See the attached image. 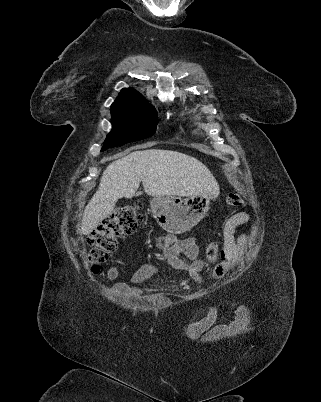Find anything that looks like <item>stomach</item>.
<instances>
[{
  "label": "stomach",
  "mask_w": 321,
  "mask_h": 402,
  "mask_svg": "<svg viewBox=\"0 0 321 402\" xmlns=\"http://www.w3.org/2000/svg\"><path fill=\"white\" fill-rule=\"evenodd\" d=\"M215 196L201 194L182 199L179 196H155L150 201L154 218L160 227L172 234L192 229L210 208Z\"/></svg>",
  "instance_id": "obj_1"
}]
</instances>
